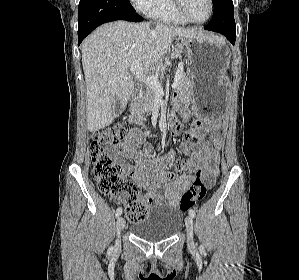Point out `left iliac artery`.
Instances as JSON below:
<instances>
[{
	"mask_svg": "<svg viewBox=\"0 0 299 280\" xmlns=\"http://www.w3.org/2000/svg\"><path fill=\"white\" fill-rule=\"evenodd\" d=\"M189 215L192 216V217H195V211L193 209H191L189 211Z\"/></svg>",
	"mask_w": 299,
	"mask_h": 280,
	"instance_id": "left-iliac-artery-1",
	"label": "left iliac artery"
}]
</instances>
